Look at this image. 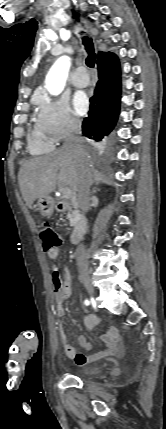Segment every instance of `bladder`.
<instances>
[{"label": "bladder", "instance_id": "1", "mask_svg": "<svg viewBox=\"0 0 166 429\" xmlns=\"http://www.w3.org/2000/svg\"><path fill=\"white\" fill-rule=\"evenodd\" d=\"M104 370V366H95L84 368L76 373V376L80 378L92 377L101 374Z\"/></svg>", "mask_w": 166, "mask_h": 429}]
</instances>
